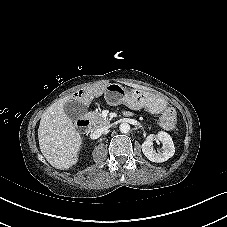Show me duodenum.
<instances>
[{"instance_id":"duodenum-1","label":"duodenum","mask_w":227,"mask_h":227,"mask_svg":"<svg viewBox=\"0 0 227 227\" xmlns=\"http://www.w3.org/2000/svg\"><path fill=\"white\" fill-rule=\"evenodd\" d=\"M77 128L81 132H88L90 129V121L88 119L82 118L76 123Z\"/></svg>"}]
</instances>
